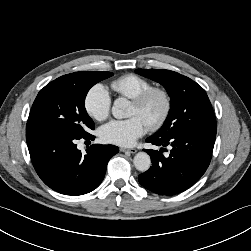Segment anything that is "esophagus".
Returning <instances> with one entry per match:
<instances>
[{"label":"esophagus","instance_id":"obj_1","mask_svg":"<svg viewBox=\"0 0 251 251\" xmlns=\"http://www.w3.org/2000/svg\"><path fill=\"white\" fill-rule=\"evenodd\" d=\"M121 152H128L131 154H135L137 152V150L135 148H131V149H127V148H120Z\"/></svg>","mask_w":251,"mask_h":251}]
</instances>
